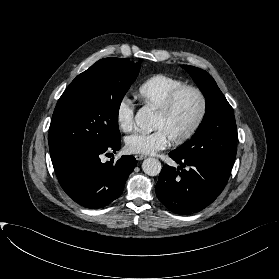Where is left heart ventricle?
Listing matches in <instances>:
<instances>
[{"mask_svg":"<svg viewBox=\"0 0 279 279\" xmlns=\"http://www.w3.org/2000/svg\"><path fill=\"white\" fill-rule=\"evenodd\" d=\"M200 111L198 96L186 91L182 93L167 116L155 114L153 129H161L169 140L184 134L194 123Z\"/></svg>","mask_w":279,"mask_h":279,"instance_id":"left-heart-ventricle-1","label":"left heart ventricle"}]
</instances>
